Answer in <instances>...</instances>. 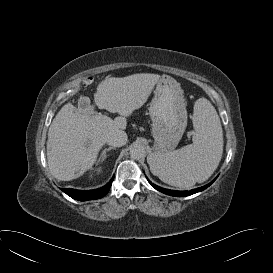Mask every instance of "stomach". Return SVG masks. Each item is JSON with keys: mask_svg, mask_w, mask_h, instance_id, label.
I'll list each match as a JSON object with an SVG mask.
<instances>
[{"mask_svg": "<svg viewBox=\"0 0 273 273\" xmlns=\"http://www.w3.org/2000/svg\"><path fill=\"white\" fill-rule=\"evenodd\" d=\"M149 108L154 149L158 153L174 150L187 127L186 103L180 84L168 75L156 83Z\"/></svg>", "mask_w": 273, "mask_h": 273, "instance_id": "1", "label": "stomach"}]
</instances>
